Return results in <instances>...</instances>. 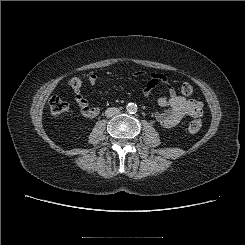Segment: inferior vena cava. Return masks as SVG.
<instances>
[{"mask_svg": "<svg viewBox=\"0 0 245 245\" xmlns=\"http://www.w3.org/2000/svg\"><path fill=\"white\" fill-rule=\"evenodd\" d=\"M120 113V110L118 108H115V107H111V108H108L106 111H105V116L110 118V117H113L117 114Z\"/></svg>", "mask_w": 245, "mask_h": 245, "instance_id": "inferior-vena-cava-1", "label": "inferior vena cava"}]
</instances>
